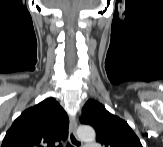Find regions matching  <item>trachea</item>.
<instances>
[{
  "instance_id": "obj_1",
  "label": "trachea",
  "mask_w": 163,
  "mask_h": 147,
  "mask_svg": "<svg viewBox=\"0 0 163 147\" xmlns=\"http://www.w3.org/2000/svg\"><path fill=\"white\" fill-rule=\"evenodd\" d=\"M59 146H62V144H60ZM67 147H72L69 143L66 144Z\"/></svg>"
}]
</instances>
